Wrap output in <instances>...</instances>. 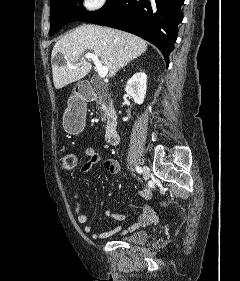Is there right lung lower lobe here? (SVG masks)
I'll use <instances>...</instances> for the list:
<instances>
[{
	"instance_id": "right-lung-lower-lobe-1",
	"label": "right lung lower lobe",
	"mask_w": 240,
	"mask_h": 281,
	"mask_svg": "<svg viewBox=\"0 0 240 281\" xmlns=\"http://www.w3.org/2000/svg\"><path fill=\"white\" fill-rule=\"evenodd\" d=\"M184 0H118L115 6L93 24L110 26L151 42L162 52L166 64L183 20Z\"/></svg>"
}]
</instances>
